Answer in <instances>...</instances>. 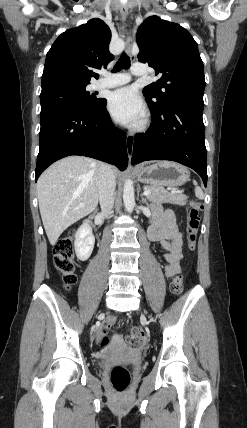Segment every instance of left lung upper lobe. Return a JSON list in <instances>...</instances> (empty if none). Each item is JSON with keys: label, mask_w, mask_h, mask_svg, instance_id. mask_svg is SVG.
<instances>
[{"label": "left lung upper lobe", "mask_w": 247, "mask_h": 428, "mask_svg": "<svg viewBox=\"0 0 247 428\" xmlns=\"http://www.w3.org/2000/svg\"><path fill=\"white\" fill-rule=\"evenodd\" d=\"M136 40L138 60L162 75L143 89L151 109L160 112L179 100L204 106V66L198 45L186 29L151 16L138 28Z\"/></svg>", "instance_id": "obj_1"}]
</instances>
